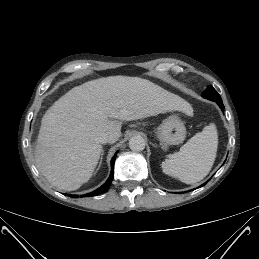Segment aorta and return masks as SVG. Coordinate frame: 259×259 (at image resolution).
<instances>
[{
  "instance_id": "1",
  "label": "aorta",
  "mask_w": 259,
  "mask_h": 259,
  "mask_svg": "<svg viewBox=\"0 0 259 259\" xmlns=\"http://www.w3.org/2000/svg\"><path fill=\"white\" fill-rule=\"evenodd\" d=\"M129 148L132 151H142L145 148V140L141 136H133L129 140Z\"/></svg>"
}]
</instances>
